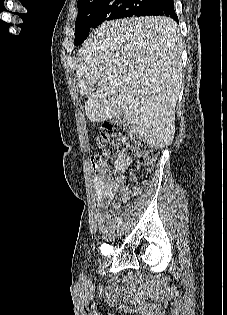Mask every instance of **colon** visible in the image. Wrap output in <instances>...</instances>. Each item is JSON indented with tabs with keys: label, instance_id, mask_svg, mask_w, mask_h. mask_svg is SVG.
Wrapping results in <instances>:
<instances>
[{
	"label": "colon",
	"instance_id": "obj_1",
	"mask_svg": "<svg viewBox=\"0 0 227 315\" xmlns=\"http://www.w3.org/2000/svg\"><path fill=\"white\" fill-rule=\"evenodd\" d=\"M97 143L101 153L93 155L92 168L102 178L111 176L109 160L121 150L130 153L134 162L143 169L151 170L154 167L157 150L137 138L126 125L120 123L104 125Z\"/></svg>",
	"mask_w": 227,
	"mask_h": 315
}]
</instances>
